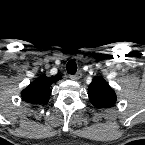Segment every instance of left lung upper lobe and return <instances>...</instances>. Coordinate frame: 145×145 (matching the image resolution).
Instances as JSON below:
<instances>
[{
	"label": "left lung upper lobe",
	"instance_id": "left-lung-upper-lobe-1",
	"mask_svg": "<svg viewBox=\"0 0 145 145\" xmlns=\"http://www.w3.org/2000/svg\"><path fill=\"white\" fill-rule=\"evenodd\" d=\"M91 103L97 108H110L116 103V94L103 77H94L88 87Z\"/></svg>",
	"mask_w": 145,
	"mask_h": 145
}]
</instances>
